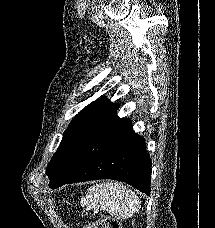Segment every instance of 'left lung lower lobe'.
Listing matches in <instances>:
<instances>
[{
	"mask_svg": "<svg viewBox=\"0 0 215 228\" xmlns=\"http://www.w3.org/2000/svg\"><path fill=\"white\" fill-rule=\"evenodd\" d=\"M124 181L149 195L151 159L144 139L135 134L131 121L116 113L103 122L75 151L50 188L97 179Z\"/></svg>",
	"mask_w": 215,
	"mask_h": 228,
	"instance_id": "left-lung-lower-lobe-1",
	"label": "left lung lower lobe"
}]
</instances>
